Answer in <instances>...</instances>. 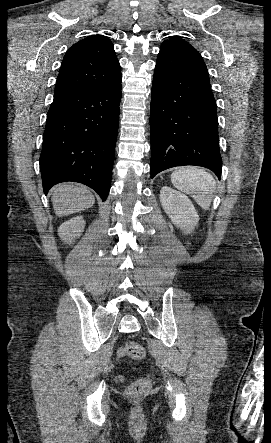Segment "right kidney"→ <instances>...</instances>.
I'll return each mask as SVG.
<instances>
[{"mask_svg":"<svg viewBox=\"0 0 271 443\" xmlns=\"http://www.w3.org/2000/svg\"><path fill=\"white\" fill-rule=\"evenodd\" d=\"M85 222L82 216H76V218H71L68 222L61 223L58 231L60 237L67 241V243H72L75 237H79L82 235V231H84Z\"/></svg>","mask_w":271,"mask_h":443,"instance_id":"obj_1","label":"right kidney"}]
</instances>
